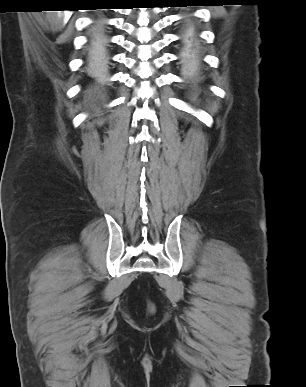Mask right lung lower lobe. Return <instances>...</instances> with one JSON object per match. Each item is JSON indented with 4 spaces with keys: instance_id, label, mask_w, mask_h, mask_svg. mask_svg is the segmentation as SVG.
I'll use <instances>...</instances> for the list:
<instances>
[{
    "instance_id": "obj_1",
    "label": "right lung lower lobe",
    "mask_w": 306,
    "mask_h": 387,
    "mask_svg": "<svg viewBox=\"0 0 306 387\" xmlns=\"http://www.w3.org/2000/svg\"><path fill=\"white\" fill-rule=\"evenodd\" d=\"M105 37L101 24H97L93 30V37L90 44L89 59L92 62L102 60L105 52Z\"/></svg>"
}]
</instances>
